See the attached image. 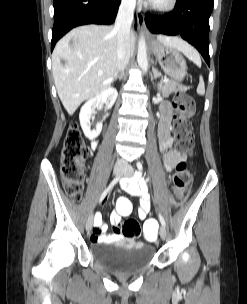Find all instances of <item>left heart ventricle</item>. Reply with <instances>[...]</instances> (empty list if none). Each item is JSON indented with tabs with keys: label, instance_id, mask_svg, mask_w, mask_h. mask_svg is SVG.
Masks as SVG:
<instances>
[{
	"label": "left heart ventricle",
	"instance_id": "1",
	"mask_svg": "<svg viewBox=\"0 0 247 304\" xmlns=\"http://www.w3.org/2000/svg\"><path fill=\"white\" fill-rule=\"evenodd\" d=\"M166 0H153L154 3H158V4H162L164 3Z\"/></svg>",
	"mask_w": 247,
	"mask_h": 304
}]
</instances>
